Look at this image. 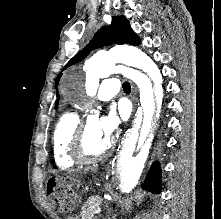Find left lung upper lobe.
Masks as SVG:
<instances>
[{
  "instance_id": "left-lung-upper-lobe-1",
  "label": "left lung upper lobe",
  "mask_w": 221,
  "mask_h": 219,
  "mask_svg": "<svg viewBox=\"0 0 221 219\" xmlns=\"http://www.w3.org/2000/svg\"><path fill=\"white\" fill-rule=\"evenodd\" d=\"M112 43L116 44H130L139 45L140 40L137 34L133 32L130 27L129 21L125 16L113 17L112 23L108 27L101 28L94 36L92 41L84 49H82L78 54H76L63 68L80 62L83 60L90 52V50L95 48H100ZM62 73H60L56 79V85H58L59 79ZM57 99L59 100V95L57 92ZM58 106V101H56V108Z\"/></svg>"
}]
</instances>
